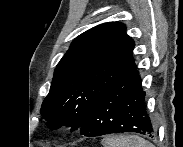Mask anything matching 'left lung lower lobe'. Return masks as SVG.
Instances as JSON below:
<instances>
[{
	"label": "left lung lower lobe",
	"instance_id": "0a47b994",
	"mask_svg": "<svg viewBox=\"0 0 183 147\" xmlns=\"http://www.w3.org/2000/svg\"><path fill=\"white\" fill-rule=\"evenodd\" d=\"M79 130L88 137L120 132L154 136L136 65L100 97Z\"/></svg>",
	"mask_w": 183,
	"mask_h": 147
}]
</instances>
